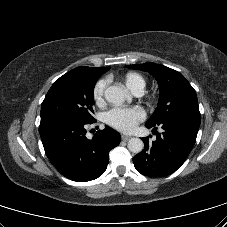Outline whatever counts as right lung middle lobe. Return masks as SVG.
Here are the masks:
<instances>
[{
  "label": "right lung middle lobe",
  "instance_id": "obj_1",
  "mask_svg": "<svg viewBox=\"0 0 227 227\" xmlns=\"http://www.w3.org/2000/svg\"><path fill=\"white\" fill-rule=\"evenodd\" d=\"M101 74L88 70H71L55 81L41 106V120L67 117L91 123L96 81Z\"/></svg>",
  "mask_w": 227,
  "mask_h": 227
}]
</instances>
